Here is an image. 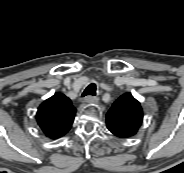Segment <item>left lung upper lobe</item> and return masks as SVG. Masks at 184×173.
I'll use <instances>...</instances> for the list:
<instances>
[{"instance_id": "obj_1", "label": "left lung upper lobe", "mask_w": 184, "mask_h": 173, "mask_svg": "<svg viewBox=\"0 0 184 173\" xmlns=\"http://www.w3.org/2000/svg\"><path fill=\"white\" fill-rule=\"evenodd\" d=\"M142 120L141 105L130 93L120 96L106 116L108 130L119 138L134 136L141 126Z\"/></svg>"}]
</instances>
